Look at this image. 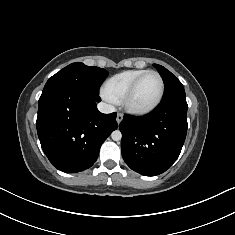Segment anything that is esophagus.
<instances>
[{
    "label": "esophagus",
    "mask_w": 235,
    "mask_h": 235,
    "mask_svg": "<svg viewBox=\"0 0 235 235\" xmlns=\"http://www.w3.org/2000/svg\"><path fill=\"white\" fill-rule=\"evenodd\" d=\"M122 120H123V114L118 112L116 117L117 123L120 124Z\"/></svg>",
    "instance_id": "obj_1"
}]
</instances>
